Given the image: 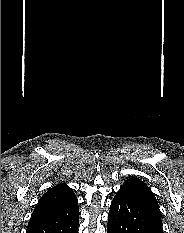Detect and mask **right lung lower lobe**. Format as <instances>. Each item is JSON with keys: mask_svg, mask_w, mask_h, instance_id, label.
I'll list each match as a JSON object with an SVG mask.
<instances>
[{"mask_svg": "<svg viewBox=\"0 0 184 233\" xmlns=\"http://www.w3.org/2000/svg\"><path fill=\"white\" fill-rule=\"evenodd\" d=\"M79 207L31 218L26 233H78Z\"/></svg>", "mask_w": 184, "mask_h": 233, "instance_id": "right-lung-lower-lobe-1", "label": "right lung lower lobe"}]
</instances>
